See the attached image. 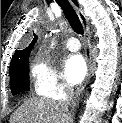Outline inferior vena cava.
Instances as JSON below:
<instances>
[{
	"instance_id": "obj_1",
	"label": "inferior vena cava",
	"mask_w": 122,
	"mask_h": 123,
	"mask_svg": "<svg viewBox=\"0 0 122 123\" xmlns=\"http://www.w3.org/2000/svg\"><path fill=\"white\" fill-rule=\"evenodd\" d=\"M74 95V89L70 84H65L64 98L59 100L58 104L63 109L64 112H68V107L71 103L72 97Z\"/></svg>"
}]
</instances>
